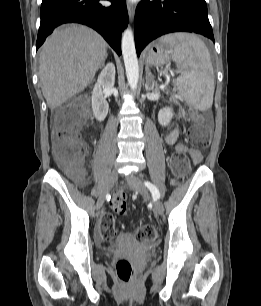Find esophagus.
<instances>
[{
	"label": "esophagus",
	"mask_w": 261,
	"mask_h": 306,
	"mask_svg": "<svg viewBox=\"0 0 261 306\" xmlns=\"http://www.w3.org/2000/svg\"><path fill=\"white\" fill-rule=\"evenodd\" d=\"M127 10H128L129 18L132 21L133 18H134V14H135V6L133 4H131V3H129L127 5Z\"/></svg>",
	"instance_id": "obj_1"
}]
</instances>
